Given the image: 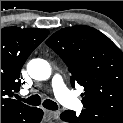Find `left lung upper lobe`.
Returning <instances> with one entry per match:
<instances>
[{
    "instance_id": "left-lung-upper-lobe-1",
    "label": "left lung upper lobe",
    "mask_w": 123,
    "mask_h": 123,
    "mask_svg": "<svg viewBox=\"0 0 123 123\" xmlns=\"http://www.w3.org/2000/svg\"><path fill=\"white\" fill-rule=\"evenodd\" d=\"M66 63L71 85L84 87V108L123 117V52L89 26L63 28L46 41Z\"/></svg>"
}]
</instances>
